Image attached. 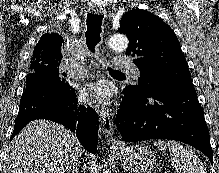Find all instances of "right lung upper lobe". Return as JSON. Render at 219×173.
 Returning a JSON list of instances; mask_svg holds the SVG:
<instances>
[{"instance_id": "obj_1", "label": "right lung upper lobe", "mask_w": 219, "mask_h": 173, "mask_svg": "<svg viewBox=\"0 0 219 173\" xmlns=\"http://www.w3.org/2000/svg\"><path fill=\"white\" fill-rule=\"evenodd\" d=\"M64 56V40L57 33L44 34L36 43L30 64L61 63Z\"/></svg>"}]
</instances>
